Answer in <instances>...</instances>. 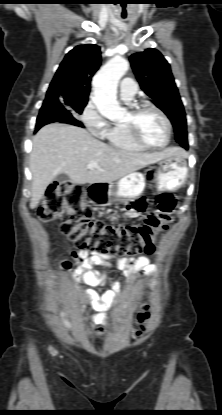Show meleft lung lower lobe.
Segmentation results:
<instances>
[{
	"label": "left lung lower lobe",
	"mask_w": 222,
	"mask_h": 415,
	"mask_svg": "<svg viewBox=\"0 0 222 415\" xmlns=\"http://www.w3.org/2000/svg\"><path fill=\"white\" fill-rule=\"evenodd\" d=\"M179 145L182 146L185 149H188V143H186V144H179Z\"/></svg>",
	"instance_id": "left-lung-lower-lobe-1"
}]
</instances>
